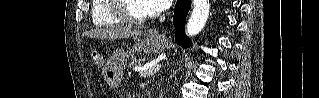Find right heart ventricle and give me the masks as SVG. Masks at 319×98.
Returning <instances> with one entry per match:
<instances>
[{
	"mask_svg": "<svg viewBox=\"0 0 319 98\" xmlns=\"http://www.w3.org/2000/svg\"><path fill=\"white\" fill-rule=\"evenodd\" d=\"M91 19L96 27L113 26L121 23L112 13L111 0H93Z\"/></svg>",
	"mask_w": 319,
	"mask_h": 98,
	"instance_id": "obj_1",
	"label": "right heart ventricle"
}]
</instances>
